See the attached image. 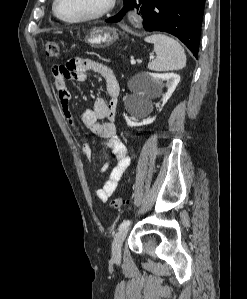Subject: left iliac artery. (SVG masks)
<instances>
[{
	"label": "left iliac artery",
	"instance_id": "44dca946",
	"mask_svg": "<svg viewBox=\"0 0 247 299\" xmlns=\"http://www.w3.org/2000/svg\"><path fill=\"white\" fill-rule=\"evenodd\" d=\"M131 223L130 220H124L121 224H120V228H124V227H127L129 226Z\"/></svg>",
	"mask_w": 247,
	"mask_h": 299
}]
</instances>
